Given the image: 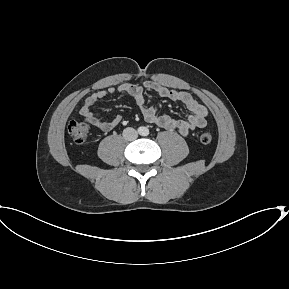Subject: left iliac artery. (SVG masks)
Masks as SVG:
<instances>
[{
	"instance_id": "1",
	"label": "left iliac artery",
	"mask_w": 289,
	"mask_h": 289,
	"mask_svg": "<svg viewBox=\"0 0 289 289\" xmlns=\"http://www.w3.org/2000/svg\"><path fill=\"white\" fill-rule=\"evenodd\" d=\"M148 133H149V131H148V130H146V131H145V135H148Z\"/></svg>"
}]
</instances>
